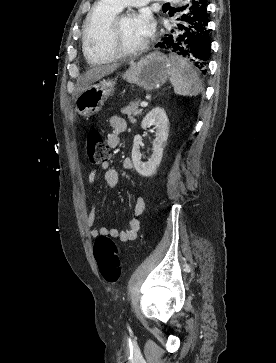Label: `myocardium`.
<instances>
[{"instance_id":"1","label":"myocardium","mask_w":276,"mask_h":363,"mask_svg":"<svg viewBox=\"0 0 276 363\" xmlns=\"http://www.w3.org/2000/svg\"><path fill=\"white\" fill-rule=\"evenodd\" d=\"M125 16H130V13L117 14L110 23L107 31V49L116 57H132L143 53L149 46L150 40L147 39L144 43L133 49H126L119 45L118 37L122 19Z\"/></svg>"}]
</instances>
